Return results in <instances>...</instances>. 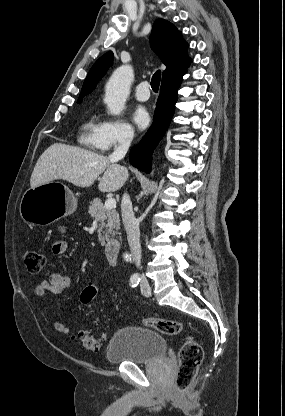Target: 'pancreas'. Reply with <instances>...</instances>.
<instances>
[{
  "label": "pancreas",
  "instance_id": "cf45deb5",
  "mask_svg": "<svg viewBox=\"0 0 285 416\" xmlns=\"http://www.w3.org/2000/svg\"><path fill=\"white\" fill-rule=\"evenodd\" d=\"M89 214L91 218H99L98 238L101 244H105V240L113 238L120 230V218L116 210H105L101 200L95 198L93 202H89Z\"/></svg>",
  "mask_w": 285,
  "mask_h": 416
}]
</instances>
